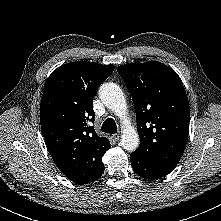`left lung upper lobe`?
I'll return each mask as SVG.
<instances>
[{
	"label": "left lung upper lobe",
	"mask_w": 221,
	"mask_h": 221,
	"mask_svg": "<svg viewBox=\"0 0 221 221\" xmlns=\"http://www.w3.org/2000/svg\"><path fill=\"white\" fill-rule=\"evenodd\" d=\"M117 71L132 95L136 111L140 145L133 153L177 165L187 143L190 119L180 77L157 61L125 64Z\"/></svg>",
	"instance_id": "1"
}]
</instances>
